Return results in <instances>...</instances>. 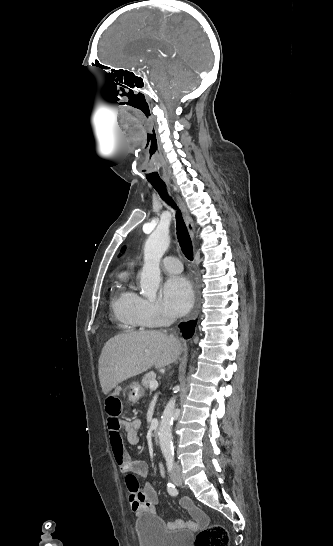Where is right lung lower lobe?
<instances>
[{"label":"right lung lower lobe","instance_id":"98d812e1","mask_svg":"<svg viewBox=\"0 0 333 546\" xmlns=\"http://www.w3.org/2000/svg\"><path fill=\"white\" fill-rule=\"evenodd\" d=\"M195 326H196L195 320H191L188 322H181L179 324V327L181 331L183 332V337L186 339L191 338L194 333Z\"/></svg>","mask_w":333,"mask_h":546}]
</instances>
